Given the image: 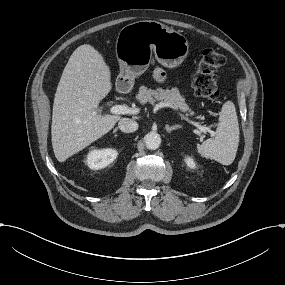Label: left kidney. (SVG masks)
<instances>
[{"label": "left kidney", "instance_id": "obj_1", "mask_svg": "<svg viewBox=\"0 0 285 285\" xmlns=\"http://www.w3.org/2000/svg\"><path fill=\"white\" fill-rule=\"evenodd\" d=\"M185 163L187 164V166L191 169H195L196 168V163L194 162V160L189 157V156H186L185 159H184Z\"/></svg>", "mask_w": 285, "mask_h": 285}]
</instances>
